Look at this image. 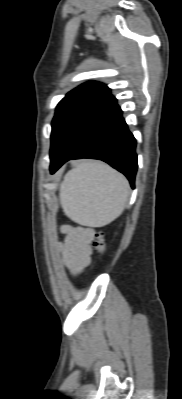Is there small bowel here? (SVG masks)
Segmentation results:
<instances>
[{"mask_svg":"<svg viewBox=\"0 0 182 399\" xmlns=\"http://www.w3.org/2000/svg\"><path fill=\"white\" fill-rule=\"evenodd\" d=\"M61 232L65 235V239L58 244L57 251L65 268L75 276L91 262L95 229L64 225L61 227Z\"/></svg>","mask_w":182,"mask_h":399,"instance_id":"obj_1","label":"small bowel"}]
</instances>
